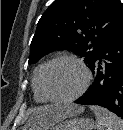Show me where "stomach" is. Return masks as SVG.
<instances>
[{"instance_id":"obj_1","label":"stomach","mask_w":123,"mask_h":130,"mask_svg":"<svg viewBox=\"0 0 123 130\" xmlns=\"http://www.w3.org/2000/svg\"><path fill=\"white\" fill-rule=\"evenodd\" d=\"M94 123L87 118H73L61 121L54 126H51L48 130H93ZM33 130V129H25Z\"/></svg>"}]
</instances>
